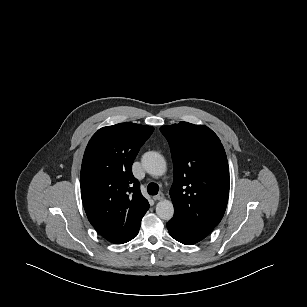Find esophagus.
I'll return each instance as SVG.
<instances>
[{
  "label": "esophagus",
  "mask_w": 307,
  "mask_h": 307,
  "mask_svg": "<svg viewBox=\"0 0 307 307\" xmlns=\"http://www.w3.org/2000/svg\"><path fill=\"white\" fill-rule=\"evenodd\" d=\"M163 198H164V194L163 193H159V194L153 196V199L155 201L162 200Z\"/></svg>",
  "instance_id": "esophagus-1"
}]
</instances>
